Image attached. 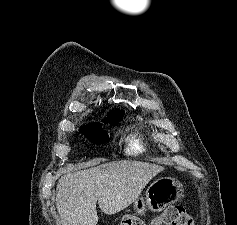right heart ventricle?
<instances>
[{"label": "right heart ventricle", "mask_w": 237, "mask_h": 225, "mask_svg": "<svg viewBox=\"0 0 237 225\" xmlns=\"http://www.w3.org/2000/svg\"><path fill=\"white\" fill-rule=\"evenodd\" d=\"M132 150H134V151H141L142 150V146L139 144V142L134 140L133 144H132Z\"/></svg>", "instance_id": "right-heart-ventricle-1"}]
</instances>
